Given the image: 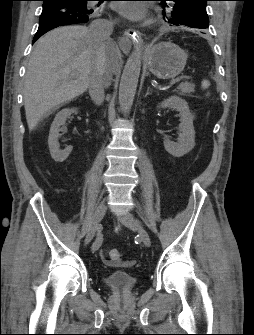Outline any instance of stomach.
I'll return each instance as SVG.
<instances>
[{"label": "stomach", "instance_id": "1", "mask_svg": "<svg viewBox=\"0 0 254 335\" xmlns=\"http://www.w3.org/2000/svg\"><path fill=\"white\" fill-rule=\"evenodd\" d=\"M150 72L159 79L178 76L186 65L187 54L171 41L160 42L147 51Z\"/></svg>", "mask_w": 254, "mask_h": 335}]
</instances>
